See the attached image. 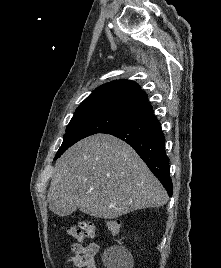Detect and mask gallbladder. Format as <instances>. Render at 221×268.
<instances>
[{
  "label": "gallbladder",
  "instance_id": "obj_1",
  "mask_svg": "<svg viewBox=\"0 0 221 268\" xmlns=\"http://www.w3.org/2000/svg\"><path fill=\"white\" fill-rule=\"evenodd\" d=\"M76 204V199H54L51 202V213H56L57 217H70V213L74 210H79V205Z\"/></svg>",
  "mask_w": 221,
  "mask_h": 268
}]
</instances>
